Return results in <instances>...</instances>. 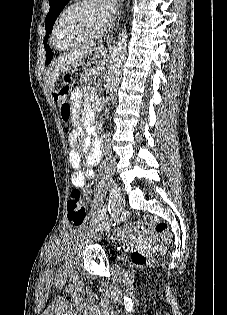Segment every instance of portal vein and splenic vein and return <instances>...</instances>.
Segmentation results:
<instances>
[{"label":"portal vein and splenic vein","mask_w":227,"mask_h":315,"mask_svg":"<svg viewBox=\"0 0 227 315\" xmlns=\"http://www.w3.org/2000/svg\"><path fill=\"white\" fill-rule=\"evenodd\" d=\"M93 73H94V74H97V71H95V70H94V72H93Z\"/></svg>","instance_id":"obj_1"}]
</instances>
